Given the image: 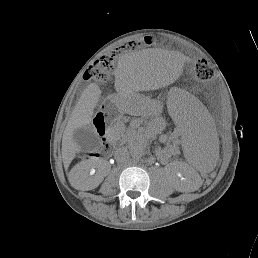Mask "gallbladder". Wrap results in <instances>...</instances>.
Listing matches in <instances>:
<instances>
[{
    "label": "gallbladder",
    "instance_id": "bac80fb5",
    "mask_svg": "<svg viewBox=\"0 0 258 258\" xmlns=\"http://www.w3.org/2000/svg\"><path fill=\"white\" fill-rule=\"evenodd\" d=\"M73 140L86 152L94 151L100 144L99 137L90 125L76 129L73 133Z\"/></svg>",
    "mask_w": 258,
    "mask_h": 258
}]
</instances>
